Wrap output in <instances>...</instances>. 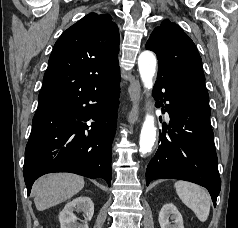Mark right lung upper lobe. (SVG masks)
<instances>
[{
	"label": "right lung upper lobe",
	"instance_id": "right-lung-upper-lobe-1",
	"mask_svg": "<svg viewBox=\"0 0 238 228\" xmlns=\"http://www.w3.org/2000/svg\"><path fill=\"white\" fill-rule=\"evenodd\" d=\"M119 31L109 14L89 13L56 41L38 107L101 89L120 79Z\"/></svg>",
	"mask_w": 238,
	"mask_h": 228
}]
</instances>
